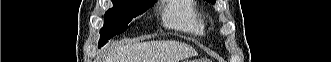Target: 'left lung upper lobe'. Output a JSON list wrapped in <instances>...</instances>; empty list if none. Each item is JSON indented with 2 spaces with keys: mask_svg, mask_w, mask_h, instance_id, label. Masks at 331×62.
Here are the masks:
<instances>
[{
  "mask_svg": "<svg viewBox=\"0 0 331 62\" xmlns=\"http://www.w3.org/2000/svg\"><path fill=\"white\" fill-rule=\"evenodd\" d=\"M207 1L212 2V3H215L216 2V0H207Z\"/></svg>",
  "mask_w": 331,
  "mask_h": 62,
  "instance_id": "left-lung-upper-lobe-1",
  "label": "left lung upper lobe"
}]
</instances>
